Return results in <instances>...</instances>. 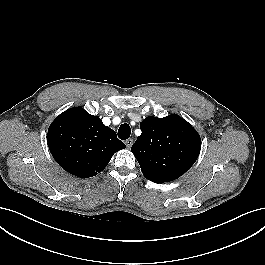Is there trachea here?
Returning a JSON list of instances; mask_svg holds the SVG:
<instances>
[{
  "label": "trachea",
  "mask_w": 265,
  "mask_h": 265,
  "mask_svg": "<svg viewBox=\"0 0 265 265\" xmlns=\"http://www.w3.org/2000/svg\"><path fill=\"white\" fill-rule=\"evenodd\" d=\"M130 134H131V129H130V126L128 124H122L120 127H119V130H118V137L121 139V140H126L130 137Z\"/></svg>",
  "instance_id": "3493384b"
}]
</instances>
